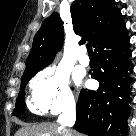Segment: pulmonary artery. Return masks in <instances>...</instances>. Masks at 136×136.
I'll return each instance as SVG.
<instances>
[{
	"mask_svg": "<svg viewBox=\"0 0 136 136\" xmlns=\"http://www.w3.org/2000/svg\"><path fill=\"white\" fill-rule=\"evenodd\" d=\"M78 61L83 66H88L89 65L90 60H89L88 55L86 54V48L85 47H81L80 48V53H79Z\"/></svg>",
	"mask_w": 136,
	"mask_h": 136,
	"instance_id": "pulmonary-artery-1",
	"label": "pulmonary artery"
}]
</instances>
